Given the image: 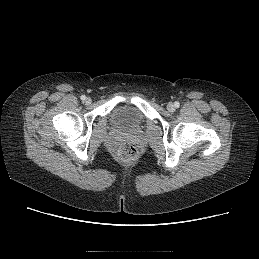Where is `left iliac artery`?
Instances as JSON below:
<instances>
[{"label":"left iliac artery","instance_id":"left-iliac-artery-1","mask_svg":"<svg viewBox=\"0 0 259 259\" xmlns=\"http://www.w3.org/2000/svg\"><path fill=\"white\" fill-rule=\"evenodd\" d=\"M179 105H180V104H179V102H175V107H177V108H178V107H179Z\"/></svg>","mask_w":259,"mask_h":259}]
</instances>
